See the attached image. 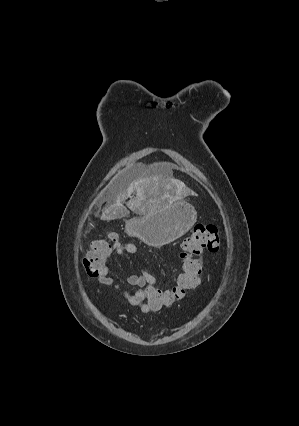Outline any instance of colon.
Wrapping results in <instances>:
<instances>
[{"instance_id":"colon-1","label":"colon","mask_w":299,"mask_h":426,"mask_svg":"<svg viewBox=\"0 0 299 426\" xmlns=\"http://www.w3.org/2000/svg\"><path fill=\"white\" fill-rule=\"evenodd\" d=\"M117 242V235L114 232H108L105 238L92 242L91 249L82 261L89 276L98 277L113 245ZM219 247L218 228L213 224H196L192 233L181 243L182 271L176 284L169 288L155 283L146 285L144 295L148 305L154 310H160L181 301L189 291L199 285L201 265L197 258L204 251L215 253Z\"/></svg>"}]
</instances>
